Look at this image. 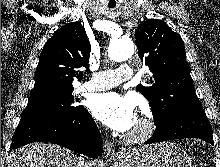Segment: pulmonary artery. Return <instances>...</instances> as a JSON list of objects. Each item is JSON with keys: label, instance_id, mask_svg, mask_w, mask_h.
<instances>
[{"label": "pulmonary artery", "instance_id": "obj_1", "mask_svg": "<svg viewBox=\"0 0 220 167\" xmlns=\"http://www.w3.org/2000/svg\"><path fill=\"white\" fill-rule=\"evenodd\" d=\"M133 69L128 64H122L116 70L97 71L92 73L89 81L82 84L84 91H101L115 87L131 79Z\"/></svg>", "mask_w": 220, "mask_h": 167}]
</instances>
